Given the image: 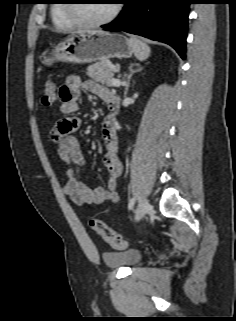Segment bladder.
<instances>
[{"label":"bladder","mask_w":236,"mask_h":321,"mask_svg":"<svg viewBox=\"0 0 236 321\" xmlns=\"http://www.w3.org/2000/svg\"><path fill=\"white\" fill-rule=\"evenodd\" d=\"M104 262L110 268L135 267L142 258V252L139 250H127L119 252H106L102 255Z\"/></svg>","instance_id":"31cf9c89"}]
</instances>
